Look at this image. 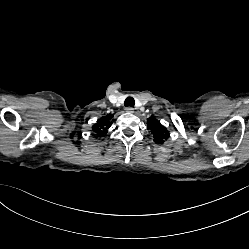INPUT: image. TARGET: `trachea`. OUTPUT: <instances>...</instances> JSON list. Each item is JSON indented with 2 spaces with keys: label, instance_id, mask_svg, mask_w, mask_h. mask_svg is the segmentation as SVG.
Here are the masks:
<instances>
[{
  "label": "trachea",
  "instance_id": "3493384b",
  "mask_svg": "<svg viewBox=\"0 0 249 249\" xmlns=\"http://www.w3.org/2000/svg\"><path fill=\"white\" fill-rule=\"evenodd\" d=\"M134 104H135V101H134V99H133L132 97H127V98L125 99V102H124V105H125V106L133 107Z\"/></svg>",
  "mask_w": 249,
  "mask_h": 249
}]
</instances>
